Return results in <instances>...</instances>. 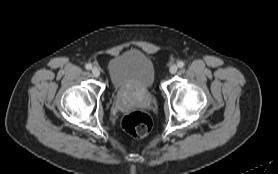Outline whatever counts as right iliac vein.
<instances>
[{"label":"right iliac vein","mask_w":278,"mask_h":174,"mask_svg":"<svg viewBox=\"0 0 278 174\" xmlns=\"http://www.w3.org/2000/svg\"><path fill=\"white\" fill-rule=\"evenodd\" d=\"M92 74H93L94 77H99L100 74H101L100 69L97 68V67H93Z\"/></svg>","instance_id":"obj_1"}]
</instances>
